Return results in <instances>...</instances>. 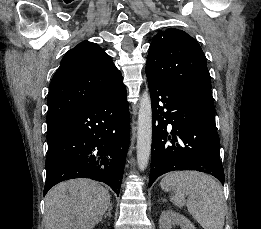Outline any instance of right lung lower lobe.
<instances>
[{
  "mask_svg": "<svg viewBox=\"0 0 261 229\" xmlns=\"http://www.w3.org/2000/svg\"><path fill=\"white\" fill-rule=\"evenodd\" d=\"M129 123L122 80L48 129L44 194L61 181L89 178L106 183L119 195L129 147Z\"/></svg>",
  "mask_w": 261,
  "mask_h": 229,
  "instance_id": "obj_1",
  "label": "right lung lower lobe"
}]
</instances>
